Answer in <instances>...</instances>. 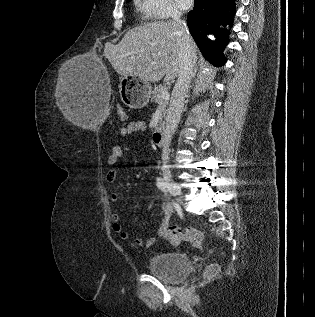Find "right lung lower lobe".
<instances>
[{
	"label": "right lung lower lobe",
	"instance_id": "right-lung-lower-lobe-1",
	"mask_svg": "<svg viewBox=\"0 0 315 317\" xmlns=\"http://www.w3.org/2000/svg\"><path fill=\"white\" fill-rule=\"evenodd\" d=\"M234 13V0H195L193 10L188 13L187 25L191 35L203 55L217 66L226 60L223 50L229 34L219 26L232 24ZM210 33L215 34V41H207L206 36Z\"/></svg>",
	"mask_w": 315,
	"mask_h": 317
}]
</instances>
